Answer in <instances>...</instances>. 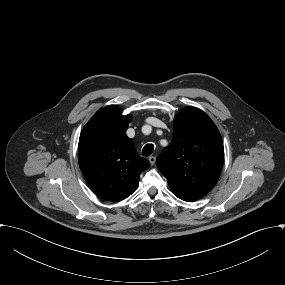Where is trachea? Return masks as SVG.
I'll return each mask as SVG.
<instances>
[{
    "label": "trachea",
    "instance_id": "obj_1",
    "mask_svg": "<svg viewBox=\"0 0 285 285\" xmlns=\"http://www.w3.org/2000/svg\"><path fill=\"white\" fill-rule=\"evenodd\" d=\"M154 150V145L153 144H146L142 150V155L143 156H150Z\"/></svg>",
    "mask_w": 285,
    "mask_h": 285
}]
</instances>
